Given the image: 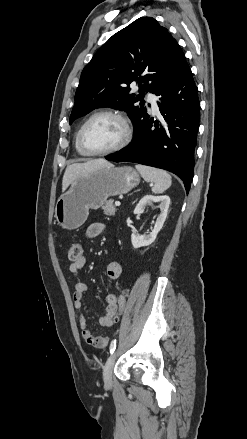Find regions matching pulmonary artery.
<instances>
[{
  "instance_id": "e3ab8cb5",
  "label": "pulmonary artery",
  "mask_w": 247,
  "mask_h": 439,
  "mask_svg": "<svg viewBox=\"0 0 247 439\" xmlns=\"http://www.w3.org/2000/svg\"><path fill=\"white\" fill-rule=\"evenodd\" d=\"M147 99L149 101V103L152 106V110L154 113H158L159 112V107H158V103H157V99L155 97V95L148 93L147 95Z\"/></svg>"
}]
</instances>
